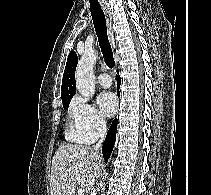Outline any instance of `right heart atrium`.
Masks as SVG:
<instances>
[{"instance_id":"1","label":"right heart atrium","mask_w":211,"mask_h":195,"mask_svg":"<svg viewBox=\"0 0 211 195\" xmlns=\"http://www.w3.org/2000/svg\"><path fill=\"white\" fill-rule=\"evenodd\" d=\"M71 137L82 143H92L106 131V121L86 98L76 96L69 109Z\"/></svg>"}]
</instances>
